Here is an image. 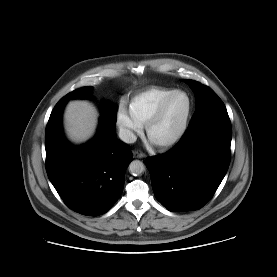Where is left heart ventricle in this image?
Wrapping results in <instances>:
<instances>
[{"label":"left heart ventricle","instance_id":"obj_1","mask_svg":"<svg viewBox=\"0 0 277 277\" xmlns=\"http://www.w3.org/2000/svg\"><path fill=\"white\" fill-rule=\"evenodd\" d=\"M187 109V97L183 94L174 96L165 107L160 119L152 127L150 139L159 143L173 137L180 129Z\"/></svg>","mask_w":277,"mask_h":277}]
</instances>
